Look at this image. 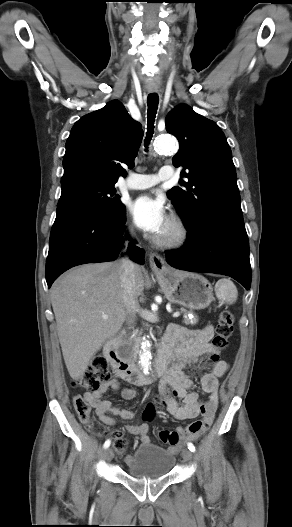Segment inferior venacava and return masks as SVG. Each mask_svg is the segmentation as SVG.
<instances>
[{"label": "inferior vena cava", "instance_id": "1", "mask_svg": "<svg viewBox=\"0 0 292 527\" xmlns=\"http://www.w3.org/2000/svg\"><path fill=\"white\" fill-rule=\"evenodd\" d=\"M121 269L123 300L126 310L125 320L128 327H133L136 321V313L140 307L135 288L136 265L127 256H125L121 259Z\"/></svg>", "mask_w": 292, "mask_h": 527}]
</instances>
